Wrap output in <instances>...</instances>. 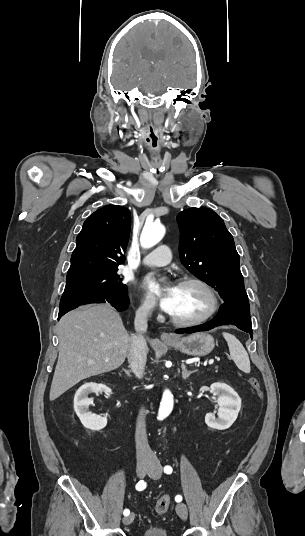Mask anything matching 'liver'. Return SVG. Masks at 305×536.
<instances>
[{
    "label": "liver",
    "mask_w": 305,
    "mask_h": 536,
    "mask_svg": "<svg viewBox=\"0 0 305 536\" xmlns=\"http://www.w3.org/2000/svg\"><path fill=\"white\" fill-rule=\"evenodd\" d=\"M58 328L59 356L49 394L51 402L80 380L117 370L127 358L129 334L109 304H90L68 312Z\"/></svg>",
    "instance_id": "obj_1"
}]
</instances>
